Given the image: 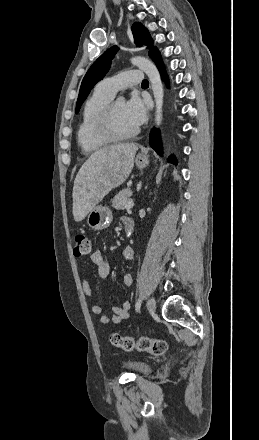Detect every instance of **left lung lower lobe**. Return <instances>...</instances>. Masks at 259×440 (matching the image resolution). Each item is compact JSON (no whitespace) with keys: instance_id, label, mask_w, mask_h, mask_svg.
Listing matches in <instances>:
<instances>
[{"instance_id":"left-lung-lower-lobe-1","label":"left lung lower lobe","mask_w":259,"mask_h":440,"mask_svg":"<svg viewBox=\"0 0 259 440\" xmlns=\"http://www.w3.org/2000/svg\"><path fill=\"white\" fill-rule=\"evenodd\" d=\"M151 58L155 61L157 67L159 68V70L163 74V77L167 81V76H166V73H165V70H164V65H163V62L161 60L160 53H159V51L157 49L153 52V54L151 55ZM149 144L159 155L162 154L160 132H159L158 129L157 130L156 129H152V131L150 133ZM168 162L176 164L175 157L171 156L168 159Z\"/></svg>"}]
</instances>
